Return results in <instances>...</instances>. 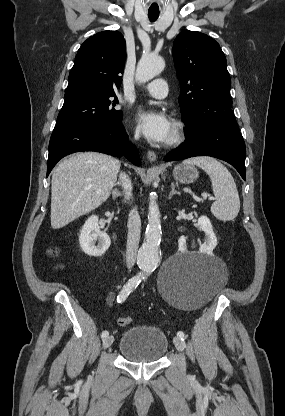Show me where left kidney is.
Instances as JSON below:
<instances>
[{"instance_id": "left-kidney-1", "label": "left kidney", "mask_w": 285, "mask_h": 416, "mask_svg": "<svg viewBox=\"0 0 285 416\" xmlns=\"http://www.w3.org/2000/svg\"><path fill=\"white\" fill-rule=\"evenodd\" d=\"M198 226L201 228L202 232L206 234V240L204 244H201L199 252L201 254H212L214 248L217 246V238L213 232L211 222L207 216H201L198 218ZM179 250H187L186 238L181 236L178 240Z\"/></svg>"}]
</instances>
